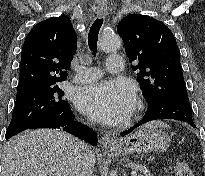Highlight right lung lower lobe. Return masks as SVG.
<instances>
[{
	"label": "right lung lower lobe",
	"mask_w": 205,
	"mask_h": 176,
	"mask_svg": "<svg viewBox=\"0 0 205 176\" xmlns=\"http://www.w3.org/2000/svg\"><path fill=\"white\" fill-rule=\"evenodd\" d=\"M35 128H62L92 145H97L98 142L97 135L92 129L74 121V115L70 108L58 116L44 119L32 125L29 129Z\"/></svg>",
	"instance_id": "obj_1"
}]
</instances>
